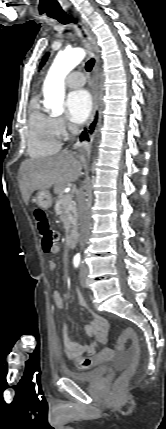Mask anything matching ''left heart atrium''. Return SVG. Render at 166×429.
Masks as SVG:
<instances>
[{
	"label": "left heart atrium",
	"mask_w": 166,
	"mask_h": 429,
	"mask_svg": "<svg viewBox=\"0 0 166 429\" xmlns=\"http://www.w3.org/2000/svg\"><path fill=\"white\" fill-rule=\"evenodd\" d=\"M67 117L74 124L87 120L92 110V98L85 89L70 92L66 99Z\"/></svg>",
	"instance_id": "39dd6f15"
}]
</instances>
